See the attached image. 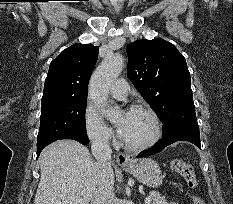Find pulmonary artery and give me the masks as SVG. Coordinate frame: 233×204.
Returning a JSON list of instances; mask_svg holds the SVG:
<instances>
[{
    "instance_id": "obj_1",
    "label": "pulmonary artery",
    "mask_w": 233,
    "mask_h": 204,
    "mask_svg": "<svg viewBox=\"0 0 233 204\" xmlns=\"http://www.w3.org/2000/svg\"><path fill=\"white\" fill-rule=\"evenodd\" d=\"M111 94L117 99H125L128 95L129 85L124 79H117L111 86Z\"/></svg>"
}]
</instances>
